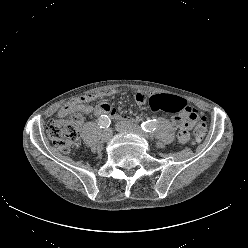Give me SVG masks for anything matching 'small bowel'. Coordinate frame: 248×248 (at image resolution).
I'll use <instances>...</instances> for the list:
<instances>
[{"mask_svg": "<svg viewBox=\"0 0 248 248\" xmlns=\"http://www.w3.org/2000/svg\"><path fill=\"white\" fill-rule=\"evenodd\" d=\"M117 93L116 90H107L95 94H86L82 97L72 100L71 102L67 103L63 107H61L58 111V116L63 118L71 113L74 112L75 109L82 107L84 109L83 114L94 113L97 115H107L109 118H122L126 119L125 117H121L118 115L117 111L108 103L102 102L96 106H83L82 104L89 103L97 98L112 96ZM148 99V94L143 91H139L134 95V100L138 105L145 104ZM75 121L78 126H81L83 123L82 116H78L75 118ZM172 122L178 126L180 129L176 132V137L179 140V143L185 144L189 137L190 132L188 131L192 126V122L186 116L176 115L172 117Z\"/></svg>", "mask_w": 248, "mask_h": 248, "instance_id": "c3829d8e", "label": "small bowel"}]
</instances>
